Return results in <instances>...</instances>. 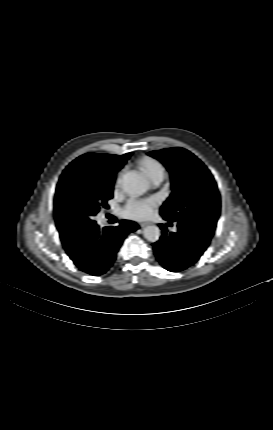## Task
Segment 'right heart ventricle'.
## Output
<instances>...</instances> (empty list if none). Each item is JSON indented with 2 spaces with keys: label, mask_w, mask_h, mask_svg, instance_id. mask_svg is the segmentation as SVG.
<instances>
[{
  "label": "right heart ventricle",
  "mask_w": 273,
  "mask_h": 430,
  "mask_svg": "<svg viewBox=\"0 0 273 430\" xmlns=\"http://www.w3.org/2000/svg\"><path fill=\"white\" fill-rule=\"evenodd\" d=\"M138 166L142 172L152 180L158 174H164L163 165L156 159L151 157H142L138 161Z\"/></svg>",
  "instance_id": "e07e8e85"
}]
</instances>
